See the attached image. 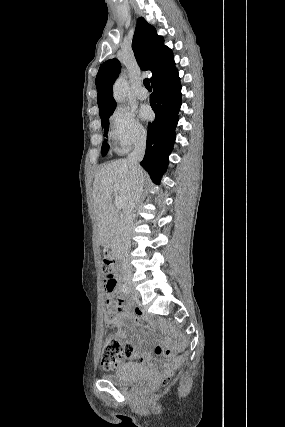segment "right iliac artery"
I'll return each instance as SVG.
<instances>
[{"instance_id": "obj_1", "label": "right iliac artery", "mask_w": 285, "mask_h": 427, "mask_svg": "<svg viewBox=\"0 0 285 427\" xmlns=\"http://www.w3.org/2000/svg\"><path fill=\"white\" fill-rule=\"evenodd\" d=\"M122 291H123L125 294H129V289H128V287H127L126 285H124V284H123V286H122Z\"/></svg>"}]
</instances>
